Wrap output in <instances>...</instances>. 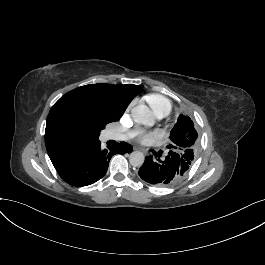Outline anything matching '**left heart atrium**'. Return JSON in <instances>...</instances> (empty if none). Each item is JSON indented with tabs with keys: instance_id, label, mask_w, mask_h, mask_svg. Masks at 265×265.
Returning a JSON list of instances; mask_svg holds the SVG:
<instances>
[{
	"instance_id": "1",
	"label": "left heart atrium",
	"mask_w": 265,
	"mask_h": 265,
	"mask_svg": "<svg viewBox=\"0 0 265 265\" xmlns=\"http://www.w3.org/2000/svg\"><path fill=\"white\" fill-rule=\"evenodd\" d=\"M150 137V134L147 131L142 130V135L140 137H137L138 140L146 141Z\"/></svg>"
}]
</instances>
